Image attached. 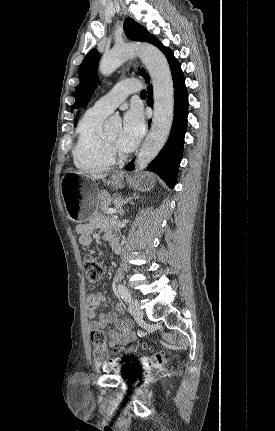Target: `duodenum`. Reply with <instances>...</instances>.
Returning <instances> with one entry per match:
<instances>
[{
	"label": "duodenum",
	"instance_id": "1",
	"mask_svg": "<svg viewBox=\"0 0 275 431\" xmlns=\"http://www.w3.org/2000/svg\"><path fill=\"white\" fill-rule=\"evenodd\" d=\"M112 244H115V240L112 242Z\"/></svg>",
	"mask_w": 275,
	"mask_h": 431
}]
</instances>
